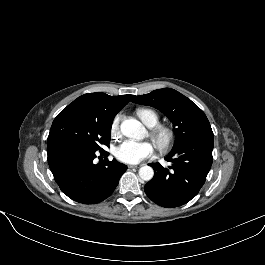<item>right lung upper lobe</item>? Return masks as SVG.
<instances>
[{"mask_svg":"<svg viewBox=\"0 0 265 265\" xmlns=\"http://www.w3.org/2000/svg\"><path fill=\"white\" fill-rule=\"evenodd\" d=\"M134 95L109 96L104 93H87L69 104L63 111H80L99 118L112 120Z\"/></svg>","mask_w":265,"mask_h":265,"instance_id":"right-lung-upper-lobe-1","label":"right lung upper lobe"}]
</instances>
